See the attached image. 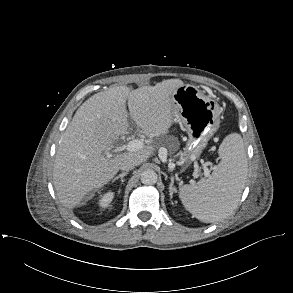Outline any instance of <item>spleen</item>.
Wrapping results in <instances>:
<instances>
[{
    "label": "spleen",
    "instance_id": "obj_1",
    "mask_svg": "<svg viewBox=\"0 0 293 293\" xmlns=\"http://www.w3.org/2000/svg\"><path fill=\"white\" fill-rule=\"evenodd\" d=\"M218 154L221 159L209 178L180 188L184 207L198 220L215 223L236 208L247 176V157L242 137L233 133L225 137Z\"/></svg>",
    "mask_w": 293,
    "mask_h": 293
}]
</instances>
